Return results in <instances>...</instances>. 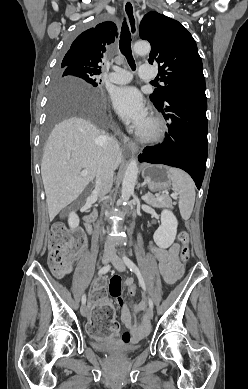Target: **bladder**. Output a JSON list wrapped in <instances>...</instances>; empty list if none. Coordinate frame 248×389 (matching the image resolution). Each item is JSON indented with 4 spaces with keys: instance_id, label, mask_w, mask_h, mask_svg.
I'll return each mask as SVG.
<instances>
[{
    "instance_id": "31cf9c89",
    "label": "bladder",
    "mask_w": 248,
    "mask_h": 389,
    "mask_svg": "<svg viewBox=\"0 0 248 389\" xmlns=\"http://www.w3.org/2000/svg\"><path fill=\"white\" fill-rule=\"evenodd\" d=\"M91 345L96 351L110 355H129L137 350V346H128L116 341L101 342L92 340Z\"/></svg>"
}]
</instances>
